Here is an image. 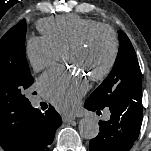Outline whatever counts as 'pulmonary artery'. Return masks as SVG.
Here are the masks:
<instances>
[{"instance_id": "obj_1", "label": "pulmonary artery", "mask_w": 151, "mask_h": 151, "mask_svg": "<svg viewBox=\"0 0 151 151\" xmlns=\"http://www.w3.org/2000/svg\"><path fill=\"white\" fill-rule=\"evenodd\" d=\"M109 117H110V112L107 111V112L105 113V118L108 119Z\"/></svg>"}]
</instances>
